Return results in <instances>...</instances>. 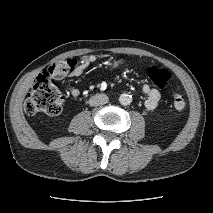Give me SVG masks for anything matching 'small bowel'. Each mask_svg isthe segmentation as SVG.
<instances>
[{"mask_svg": "<svg viewBox=\"0 0 213 213\" xmlns=\"http://www.w3.org/2000/svg\"><path fill=\"white\" fill-rule=\"evenodd\" d=\"M96 61H97V57L95 55L83 56L79 60V62H76V65L70 70L69 77L76 78L81 76L87 69L93 66L96 63ZM122 65H123V60L116 59L109 65L108 71L110 72L115 71ZM67 91L75 99H77L78 96L80 95V91L75 87H69ZM142 91L146 96L145 103H144L145 108L148 111L155 110L161 99L160 92L157 89L149 86L148 84L142 85Z\"/></svg>", "mask_w": 213, "mask_h": 213, "instance_id": "1", "label": "small bowel"}]
</instances>
